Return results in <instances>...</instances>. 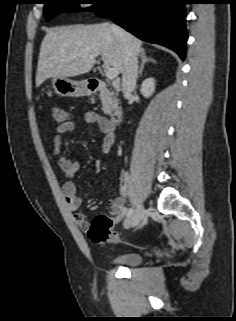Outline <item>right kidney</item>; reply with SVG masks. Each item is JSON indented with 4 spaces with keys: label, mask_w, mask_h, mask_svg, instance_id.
<instances>
[{
    "label": "right kidney",
    "mask_w": 236,
    "mask_h": 321,
    "mask_svg": "<svg viewBox=\"0 0 236 321\" xmlns=\"http://www.w3.org/2000/svg\"><path fill=\"white\" fill-rule=\"evenodd\" d=\"M141 94L145 98H149L155 91V80L154 78H147L142 82L141 85Z\"/></svg>",
    "instance_id": "right-kidney-1"
}]
</instances>
